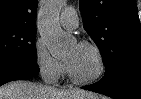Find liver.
I'll list each match as a JSON object with an SVG mask.
<instances>
[{
    "label": "liver",
    "instance_id": "1",
    "mask_svg": "<svg viewBox=\"0 0 141 99\" xmlns=\"http://www.w3.org/2000/svg\"><path fill=\"white\" fill-rule=\"evenodd\" d=\"M0 99H99L84 90H59L30 81H12L0 87Z\"/></svg>",
    "mask_w": 141,
    "mask_h": 99
}]
</instances>
